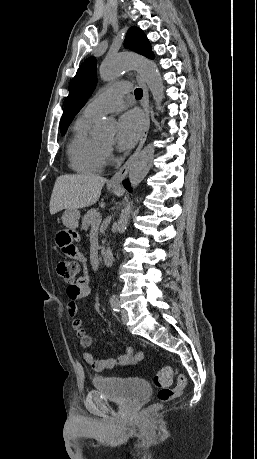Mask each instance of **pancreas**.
Instances as JSON below:
<instances>
[{
	"label": "pancreas",
	"mask_w": 257,
	"mask_h": 459,
	"mask_svg": "<svg viewBox=\"0 0 257 459\" xmlns=\"http://www.w3.org/2000/svg\"><path fill=\"white\" fill-rule=\"evenodd\" d=\"M99 215L98 209H90L82 220V229L87 231L90 225H93L94 219Z\"/></svg>",
	"instance_id": "cf45deb5"
}]
</instances>
